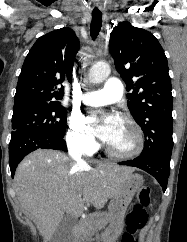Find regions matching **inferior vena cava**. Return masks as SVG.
I'll use <instances>...</instances> for the list:
<instances>
[{"label": "inferior vena cava", "instance_id": "obj_1", "mask_svg": "<svg viewBox=\"0 0 187 242\" xmlns=\"http://www.w3.org/2000/svg\"><path fill=\"white\" fill-rule=\"evenodd\" d=\"M69 154L76 161L77 165H85V162L81 159V152H79V150L72 149Z\"/></svg>", "mask_w": 187, "mask_h": 242}]
</instances>
